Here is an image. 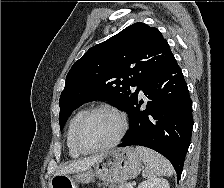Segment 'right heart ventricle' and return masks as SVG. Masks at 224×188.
Instances as JSON below:
<instances>
[{"mask_svg":"<svg viewBox=\"0 0 224 188\" xmlns=\"http://www.w3.org/2000/svg\"><path fill=\"white\" fill-rule=\"evenodd\" d=\"M85 112L84 109L79 110L70 120L69 125H68V129H67V135H66V144H67V148L69 151V155L73 158H78L80 157L83 153L80 152L75 144H74V140H73V133H74V128L79 120V118L82 116V114Z\"/></svg>","mask_w":224,"mask_h":188,"instance_id":"right-heart-ventricle-1","label":"right heart ventricle"}]
</instances>
